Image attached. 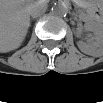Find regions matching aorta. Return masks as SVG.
Segmentation results:
<instances>
[{
  "mask_svg": "<svg viewBox=\"0 0 103 103\" xmlns=\"http://www.w3.org/2000/svg\"><path fill=\"white\" fill-rule=\"evenodd\" d=\"M52 13L58 17L66 16L68 13V7L65 3L59 2L52 7Z\"/></svg>",
  "mask_w": 103,
  "mask_h": 103,
  "instance_id": "aorta-1",
  "label": "aorta"
}]
</instances>
